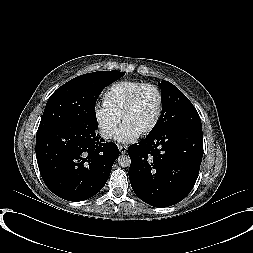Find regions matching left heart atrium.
<instances>
[{
    "mask_svg": "<svg viewBox=\"0 0 253 253\" xmlns=\"http://www.w3.org/2000/svg\"><path fill=\"white\" fill-rule=\"evenodd\" d=\"M139 133L131 128L129 125L123 123L121 127L116 132V140L119 142L127 143L135 140L138 137Z\"/></svg>",
    "mask_w": 253,
    "mask_h": 253,
    "instance_id": "39dd6f15",
    "label": "left heart atrium"
}]
</instances>
